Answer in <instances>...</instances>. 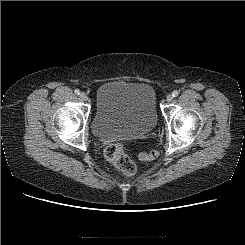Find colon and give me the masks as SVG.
Masks as SVG:
<instances>
[{
  "mask_svg": "<svg viewBox=\"0 0 245 245\" xmlns=\"http://www.w3.org/2000/svg\"><path fill=\"white\" fill-rule=\"evenodd\" d=\"M158 155L156 150L140 155L143 161L154 160ZM105 156L118 170L127 176H131L136 172L135 163L126 154L125 147L121 144H111L106 148Z\"/></svg>",
  "mask_w": 245,
  "mask_h": 245,
  "instance_id": "1",
  "label": "colon"
}]
</instances>
